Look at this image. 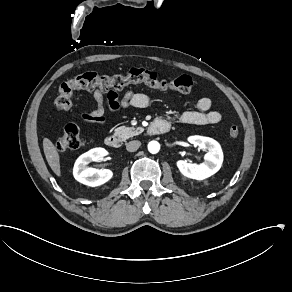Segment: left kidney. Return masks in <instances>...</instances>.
Segmentation results:
<instances>
[{"label": "left kidney", "mask_w": 292, "mask_h": 292, "mask_svg": "<svg viewBox=\"0 0 292 292\" xmlns=\"http://www.w3.org/2000/svg\"><path fill=\"white\" fill-rule=\"evenodd\" d=\"M188 141L203 150H208V152L204 156L205 161L201 164L178 161L177 167L180 172L184 176L196 180H203L215 174L223 163V152L220 144L212 138L199 135L190 136Z\"/></svg>", "instance_id": "1"}]
</instances>
